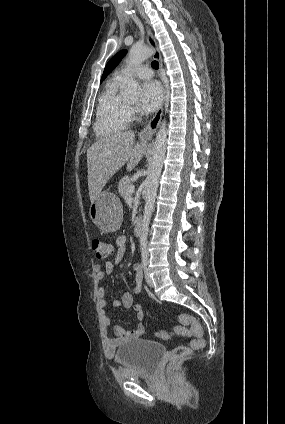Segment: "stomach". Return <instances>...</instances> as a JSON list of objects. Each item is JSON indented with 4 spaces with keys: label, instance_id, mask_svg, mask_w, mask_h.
<instances>
[{
    "label": "stomach",
    "instance_id": "0dacf381",
    "mask_svg": "<svg viewBox=\"0 0 285 424\" xmlns=\"http://www.w3.org/2000/svg\"><path fill=\"white\" fill-rule=\"evenodd\" d=\"M89 215L93 223L103 232L116 231L122 224L123 207L120 199L109 191H102L91 202Z\"/></svg>",
    "mask_w": 285,
    "mask_h": 424
}]
</instances>
